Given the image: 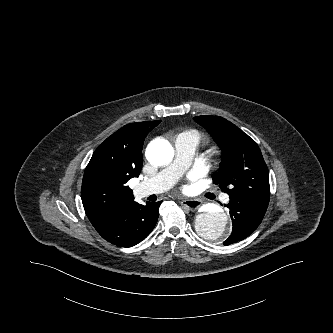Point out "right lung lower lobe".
<instances>
[{"instance_id": "obj_1", "label": "right lung lower lobe", "mask_w": 333, "mask_h": 333, "mask_svg": "<svg viewBox=\"0 0 333 333\" xmlns=\"http://www.w3.org/2000/svg\"><path fill=\"white\" fill-rule=\"evenodd\" d=\"M160 204L161 201L140 205L132 200L113 211L94 228L114 245L134 246L144 240L155 227Z\"/></svg>"}]
</instances>
